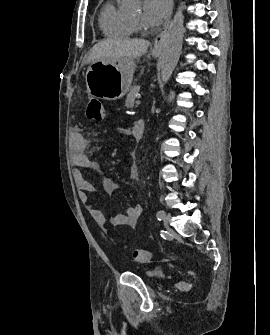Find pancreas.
I'll use <instances>...</instances> for the list:
<instances>
[{
  "label": "pancreas",
  "mask_w": 270,
  "mask_h": 335,
  "mask_svg": "<svg viewBox=\"0 0 270 335\" xmlns=\"http://www.w3.org/2000/svg\"><path fill=\"white\" fill-rule=\"evenodd\" d=\"M139 90L140 86H132V88H130V92L129 94H127L125 102V106H127V108H133L135 102V94H138Z\"/></svg>",
  "instance_id": "obj_1"
}]
</instances>
